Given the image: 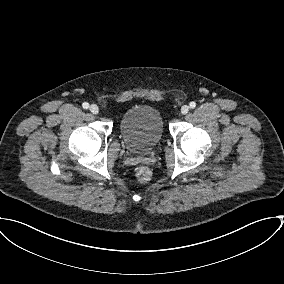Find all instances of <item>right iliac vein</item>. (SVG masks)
<instances>
[{"label": "right iliac vein", "mask_w": 284, "mask_h": 284, "mask_svg": "<svg viewBox=\"0 0 284 284\" xmlns=\"http://www.w3.org/2000/svg\"><path fill=\"white\" fill-rule=\"evenodd\" d=\"M89 110H90V112L93 113V114H98V112H99V108H98V106L95 105V104H92V105L89 107Z\"/></svg>", "instance_id": "obj_1"}]
</instances>
